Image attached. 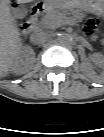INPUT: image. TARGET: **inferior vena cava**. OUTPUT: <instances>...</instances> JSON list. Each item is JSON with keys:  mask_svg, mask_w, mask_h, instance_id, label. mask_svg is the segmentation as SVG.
I'll return each mask as SVG.
<instances>
[{"mask_svg": "<svg viewBox=\"0 0 104 137\" xmlns=\"http://www.w3.org/2000/svg\"><path fill=\"white\" fill-rule=\"evenodd\" d=\"M48 39L47 33L41 31V30H36L30 37V40L34 44H42L46 42Z\"/></svg>", "mask_w": 104, "mask_h": 137, "instance_id": "1", "label": "inferior vena cava"}]
</instances>
